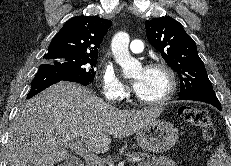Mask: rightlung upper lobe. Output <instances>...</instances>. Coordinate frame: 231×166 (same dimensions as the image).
<instances>
[{
  "label": "right lung upper lobe",
  "instance_id": "right-lung-upper-lobe-1",
  "mask_svg": "<svg viewBox=\"0 0 231 166\" xmlns=\"http://www.w3.org/2000/svg\"><path fill=\"white\" fill-rule=\"evenodd\" d=\"M110 20L94 16L69 19L52 39L49 54L98 56V48L111 27Z\"/></svg>",
  "mask_w": 231,
  "mask_h": 166
}]
</instances>
